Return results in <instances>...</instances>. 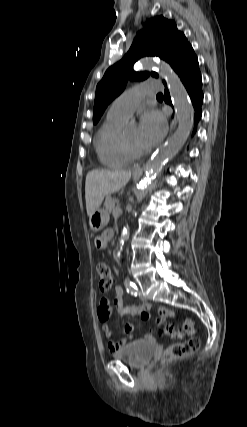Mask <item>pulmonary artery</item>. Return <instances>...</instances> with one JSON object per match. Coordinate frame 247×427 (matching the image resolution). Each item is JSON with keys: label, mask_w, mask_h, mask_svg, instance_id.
<instances>
[{"label": "pulmonary artery", "mask_w": 247, "mask_h": 427, "mask_svg": "<svg viewBox=\"0 0 247 427\" xmlns=\"http://www.w3.org/2000/svg\"><path fill=\"white\" fill-rule=\"evenodd\" d=\"M161 90V85L154 80L132 86L124 91L110 106L108 115L128 119L147 93Z\"/></svg>", "instance_id": "obj_1"}]
</instances>
